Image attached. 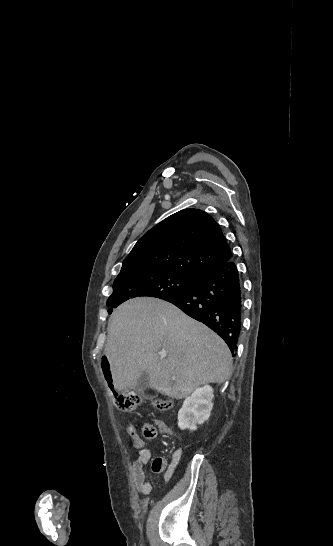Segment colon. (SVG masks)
<instances>
[{
	"instance_id": "obj_1",
	"label": "colon",
	"mask_w": 333,
	"mask_h": 546,
	"mask_svg": "<svg viewBox=\"0 0 333 546\" xmlns=\"http://www.w3.org/2000/svg\"><path fill=\"white\" fill-rule=\"evenodd\" d=\"M101 369L104 372V378L107 379L105 384L108 386V390L112 391L114 404L122 411H133L142 402V398L136 394L129 392H119L114 385V381L111 378L109 371V360L104 357L101 364ZM151 406L157 410L164 411L172 406V401L169 399H157L150 402ZM129 434H133L135 429L132 425L127 427ZM142 435L146 439H154L157 436V429L151 423H145L142 426Z\"/></svg>"
}]
</instances>
